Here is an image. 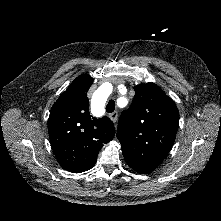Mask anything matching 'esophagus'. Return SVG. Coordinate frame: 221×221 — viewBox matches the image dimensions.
<instances>
[{
    "instance_id": "obj_1",
    "label": "esophagus",
    "mask_w": 221,
    "mask_h": 221,
    "mask_svg": "<svg viewBox=\"0 0 221 221\" xmlns=\"http://www.w3.org/2000/svg\"><path fill=\"white\" fill-rule=\"evenodd\" d=\"M109 118L115 123L118 119V113L117 112L110 113Z\"/></svg>"
}]
</instances>
